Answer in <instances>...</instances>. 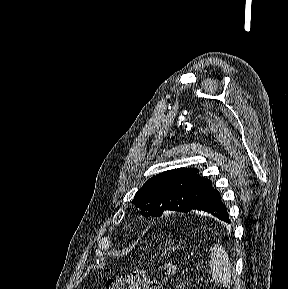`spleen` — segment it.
Here are the masks:
<instances>
[{
	"instance_id": "obj_1",
	"label": "spleen",
	"mask_w": 288,
	"mask_h": 289,
	"mask_svg": "<svg viewBox=\"0 0 288 289\" xmlns=\"http://www.w3.org/2000/svg\"><path fill=\"white\" fill-rule=\"evenodd\" d=\"M210 251L212 279L217 283H228L231 280V263L227 251L218 244L212 246Z\"/></svg>"
}]
</instances>
